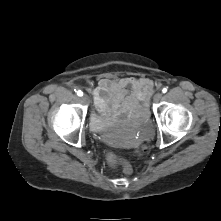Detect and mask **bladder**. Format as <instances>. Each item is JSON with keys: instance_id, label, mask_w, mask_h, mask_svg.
Listing matches in <instances>:
<instances>
[{"instance_id": "31cf9c89", "label": "bladder", "mask_w": 221, "mask_h": 221, "mask_svg": "<svg viewBox=\"0 0 221 221\" xmlns=\"http://www.w3.org/2000/svg\"><path fill=\"white\" fill-rule=\"evenodd\" d=\"M146 115L147 114L140 117L144 118ZM115 118L124 119L123 116H115ZM113 119L114 117L112 116L93 112L90 117L89 126L92 132L103 134L111 145L119 147L123 145V141L112 133L111 127Z\"/></svg>"}]
</instances>
